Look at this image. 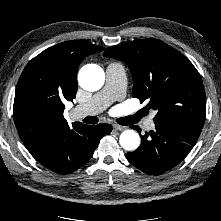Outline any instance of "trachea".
Segmentation results:
<instances>
[{
	"label": "trachea",
	"instance_id": "trachea-1",
	"mask_svg": "<svg viewBox=\"0 0 221 221\" xmlns=\"http://www.w3.org/2000/svg\"><path fill=\"white\" fill-rule=\"evenodd\" d=\"M83 121L87 124H96L98 122V118L95 116H89L86 117ZM118 122L121 125H128L134 122V117L121 118L118 120Z\"/></svg>",
	"mask_w": 221,
	"mask_h": 221
}]
</instances>
